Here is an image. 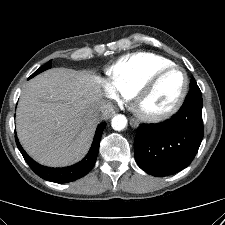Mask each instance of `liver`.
Segmentation results:
<instances>
[{"label":"liver","instance_id":"obj_1","mask_svg":"<svg viewBox=\"0 0 225 225\" xmlns=\"http://www.w3.org/2000/svg\"><path fill=\"white\" fill-rule=\"evenodd\" d=\"M101 93L87 72L52 68L24 87L16 112L20 143L37 162L62 167L88 152L98 123Z\"/></svg>","mask_w":225,"mask_h":225}]
</instances>
